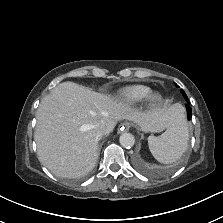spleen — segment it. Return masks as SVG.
<instances>
[{"label":"spleen","mask_w":223,"mask_h":223,"mask_svg":"<svg viewBox=\"0 0 223 223\" xmlns=\"http://www.w3.org/2000/svg\"><path fill=\"white\" fill-rule=\"evenodd\" d=\"M189 130L183 111H178L173 123L160 136H149L148 146L154 158L165 164L181 158L188 148Z\"/></svg>","instance_id":"obj_1"}]
</instances>
